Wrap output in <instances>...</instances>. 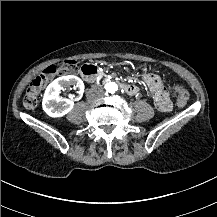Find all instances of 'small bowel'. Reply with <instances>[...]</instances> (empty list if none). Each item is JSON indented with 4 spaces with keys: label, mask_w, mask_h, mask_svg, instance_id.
Instances as JSON below:
<instances>
[{
    "label": "small bowel",
    "mask_w": 217,
    "mask_h": 217,
    "mask_svg": "<svg viewBox=\"0 0 217 217\" xmlns=\"http://www.w3.org/2000/svg\"><path fill=\"white\" fill-rule=\"evenodd\" d=\"M95 68V66L92 67V69ZM143 80L152 88L153 99L156 103L157 108L162 112H170L172 105L168 100L167 94L163 90L159 78L156 75L146 74L143 76Z\"/></svg>",
    "instance_id": "obj_1"
}]
</instances>
